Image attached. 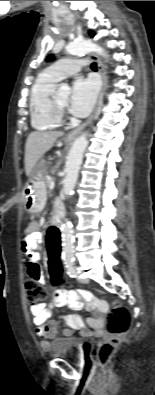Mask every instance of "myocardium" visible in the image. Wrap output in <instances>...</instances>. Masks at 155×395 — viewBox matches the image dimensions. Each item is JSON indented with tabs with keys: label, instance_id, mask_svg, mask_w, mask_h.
Listing matches in <instances>:
<instances>
[{
	"label": "myocardium",
	"instance_id": "f54148a6",
	"mask_svg": "<svg viewBox=\"0 0 155 395\" xmlns=\"http://www.w3.org/2000/svg\"><path fill=\"white\" fill-rule=\"evenodd\" d=\"M50 103H51L52 111L54 112L55 116L60 121L63 120V118L65 117V108L62 107L61 105H59V103L57 102V100L55 98L54 93H52V95H51Z\"/></svg>",
	"mask_w": 155,
	"mask_h": 395
}]
</instances>
